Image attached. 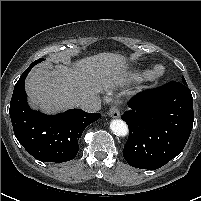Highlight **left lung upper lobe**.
<instances>
[{
	"mask_svg": "<svg viewBox=\"0 0 201 201\" xmlns=\"http://www.w3.org/2000/svg\"><path fill=\"white\" fill-rule=\"evenodd\" d=\"M182 82H184V83L186 82L184 77L182 78Z\"/></svg>",
	"mask_w": 201,
	"mask_h": 201,
	"instance_id": "left-lung-upper-lobe-1",
	"label": "left lung upper lobe"
}]
</instances>
